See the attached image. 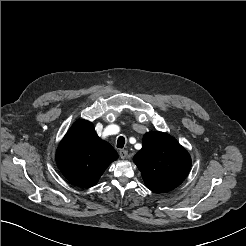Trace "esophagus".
<instances>
[{
    "label": "esophagus",
    "mask_w": 246,
    "mask_h": 246,
    "mask_svg": "<svg viewBox=\"0 0 246 246\" xmlns=\"http://www.w3.org/2000/svg\"><path fill=\"white\" fill-rule=\"evenodd\" d=\"M119 156H120V158L121 159H125V158H127L128 157V151L127 150H120L119 151Z\"/></svg>",
    "instance_id": "esophagus-1"
}]
</instances>
